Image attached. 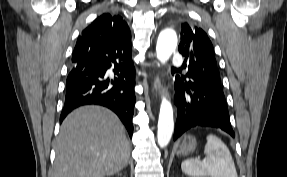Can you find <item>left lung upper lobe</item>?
I'll use <instances>...</instances> for the list:
<instances>
[{"label":"left lung upper lobe","mask_w":287,"mask_h":177,"mask_svg":"<svg viewBox=\"0 0 287 177\" xmlns=\"http://www.w3.org/2000/svg\"><path fill=\"white\" fill-rule=\"evenodd\" d=\"M178 50L189 61L186 76L201 84L203 88L221 87L212 43L201 28L182 23Z\"/></svg>","instance_id":"obj_1"}]
</instances>
